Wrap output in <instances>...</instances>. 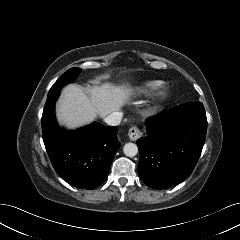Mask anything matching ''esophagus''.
<instances>
[{
	"label": "esophagus",
	"mask_w": 240,
	"mask_h": 240,
	"mask_svg": "<svg viewBox=\"0 0 240 240\" xmlns=\"http://www.w3.org/2000/svg\"><path fill=\"white\" fill-rule=\"evenodd\" d=\"M142 135H143L142 131L136 126L131 127L128 131V137L132 141L138 140L139 138L142 137Z\"/></svg>",
	"instance_id": "esophagus-1"
}]
</instances>
